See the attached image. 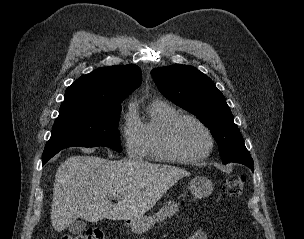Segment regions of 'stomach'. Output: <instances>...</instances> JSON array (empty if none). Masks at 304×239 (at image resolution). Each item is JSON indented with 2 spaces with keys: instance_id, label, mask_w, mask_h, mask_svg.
Returning <instances> with one entry per match:
<instances>
[{
  "instance_id": "1",
  "label": "stomach",
  "mask_w": 304,
  "mask_h": 239,
  "mask_svg": "<svg viewBox=\"0 0 304 239\" xmlns=\"http://www.w3.org/2000/svg\"><path fill=\"white\" fill-rule=\"evenodd\" d=\"M189 187L191 193L196 198H203L211 194L213 191V184L211 180L204 176L194 177L190 183ZM179 210V206L174 201H169L164 204V206L159 210V212L151 217L140 216L135 219L128 220L127 224L131 228V231L135 234H143L149 229H151L155 222L163 221L167 217L172 216Z\"/></svg>"
}]
</instances>
